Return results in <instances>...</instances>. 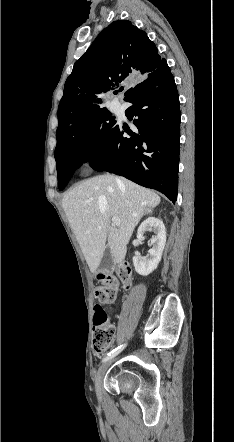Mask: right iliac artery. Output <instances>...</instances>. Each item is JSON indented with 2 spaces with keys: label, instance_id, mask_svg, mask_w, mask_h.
<instances>
[{
  "label": "right iliac artery",
  "instance_id": "82829eb1",
  "mask_svg": "<svg viewBox=\"0 0 234 442\" xmlns=\"http://www.w3.org/2000/svg\"><path fill=\"white\" fill-rule=\"evenodd\" d=\"M124 348L123 345L115 348L113 351H111L110 353L107 354V356L105 358H103L102 362H106L108 360H110L111 358H113L115 355H117L122 349Z\"/></svg>",
  "mask_w": 234,
  "mask_h": 442
}]
</instances>
